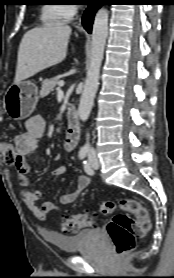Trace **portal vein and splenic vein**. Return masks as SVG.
Here are the masks:
<instances>
[{
	"label": "portal vein and splenic vein",
	"instance_id": "portal-vein-and-splenic-vein-1",
	"mask_svg": "<svg viewBox=\"0 0 174 278\" xmlns=\"http://www.w3.org/2000/svg\"><path fill=\"white\" fill-rule=\"evenodd\" d=\"M57 90H60L61 87L64 86V81H59Z\"/></svg>",
	"mask_w": 174,
	"mask_h": 278
}]
</instances>
